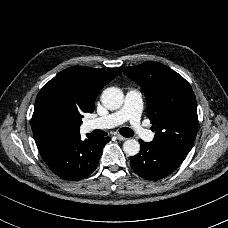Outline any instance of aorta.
I'll use <instances>...</instances> for the list:
<instances>
[{
  "label": "aorta",
  "mask_w": 228,
  "mask_h": 228,
  "mask_svg": "<svg viewBox=\"0 0 228 228\" xmlns=\"http://www.w3.org/2000/svg\"><path fill=\"white\" fill-rule=\"evenodd\" d=\"M123 92L117 87H108L101 94V103L109 110H117L123 104ZM123 150L129 156L139 153L140 144L136 140H127L123 144Z\"/></svg>",
  "instance_id": "aorta-1"
}]
</instances>
